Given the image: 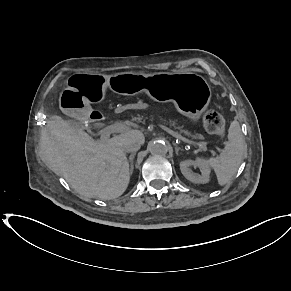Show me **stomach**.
<instances>
[{"instance_id": "0dacf381", "label": "stomach", "mask_w": 291, "mask_h": 291, "mask_svg": "<svg viewBox=\"0 0 291 291\" xmlns=\"http://www.w3.org/2000/svg\"><path fill=\"white\" fill-rule=\"evenodd\" d=\"M67 83L68 87L60 94L59 106L62 112L78 119L89 114L91 102L103 99L107 87L119 94L144 91L154 100L172 101L181 114L193 121L200 118L211 100L207 81L195 73L74 74Z\"/></svg>"}]
</instances>
